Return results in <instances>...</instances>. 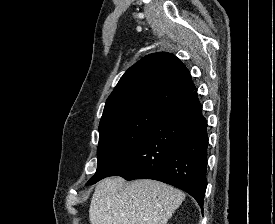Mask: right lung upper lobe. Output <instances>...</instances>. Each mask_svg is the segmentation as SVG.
<instances>
[{
  "instance_id": "cb5924a9",
  "label": "right lung upper lobe",
  "mask_w": 275,
  "mask_h": 224,
  "mask_svg": "<svg viewBox=\"0 0 275 224\" xmlns=\"http://www.w3.org/2000/svg\"><path fill=\"white\" fill-rule=\"evenodd\" d=\"M194 90L187 68L176 56L166 52L147 55L121 77L106 101L100 124L141 108L167 110Z\"/></svg>"
}]
</instances>
